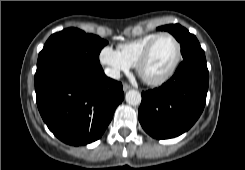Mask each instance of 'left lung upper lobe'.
I'll return each instance as SVG.
<instances>
[{
  "label": "left lung upper lobe",
  "instance_id": "5c2ea615",
  "mask_svg": "<svg viewBox=\"0 0 245 170\" xmlns=\"http://www.w3.org/2000/svg\"><path fill=\"white\" fill-rule=\"evenodd\" d=\"M158 30L170 32L181 45V53L184 60H198L206 62L204 51L197 38L179 24L158 27Z\"/></svg>",
  "mask_w": 245,
  "mask_h": 170
}]
</instances>
